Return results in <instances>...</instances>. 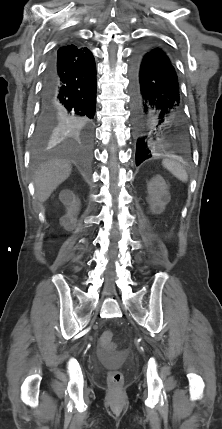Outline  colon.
Masks as SVG:
<instances>
[{
    "label": "colon",
    "mask_w": 222,
    "mask_h": 429,
    "mask_svg": "<svg viewBox=\"0 0 222 429\" xmlns=\"http://www.w3.org/2000/svg\"><path fill=\"white\" fill-rule=\"evenodd\" d=\"M100 344L102 347L107 349H112L114 347L113 343V333L111 331H105L100 337ZM124 380L123 374L118 370H111L108 373V383L112 388H118L122 385Z\"/></svg>",
    "instance_id": "5ec220e1"
}]
</instances>
